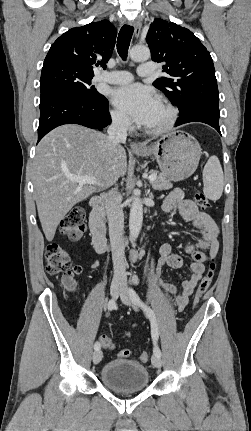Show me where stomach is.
Instances as JSON below:
<instances>
[{
  "mask_svg": "<svg viewBox=\"0 0 251 431\" xmlns=\"http://www.w3.org/2000/svg\"><path fill=\"white\" fill-rule=\"evenodd\" d=\"M139 156L154 155L161 173L172 181L190 177L197 169L202 154L197 140L184 131L171 132L149 146Z\"/></svg>",
  "mask_w": 251,
  "mask_h": 431,
  "instance_id": "stomach-1",
  "label": "stomach"
}]
</instances>
